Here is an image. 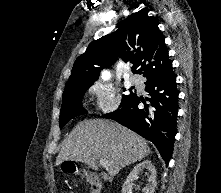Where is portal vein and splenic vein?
<instances>
[{
    "label": "portal vein and splenic vein",
    "instance_id": "18ae733b",
    "mask_svg": "<svg viewBox=\"0 0 221 193\" xmlns=\"http://www.w3.org/2000/svg\"><path fill=\"white\" fill-rule=\"evenodd\" d=\"M100 164L103 166V167H105V168H108L109 167V165H108V161H106V160H100Z\"/></svg>",
    "mask_w": 221,
    "mask_h": 193
}]
</instances>
